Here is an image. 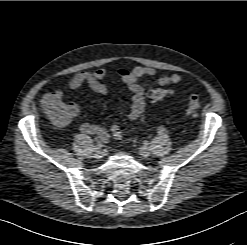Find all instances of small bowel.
Masks as SVG:
<instances>
[{"mask_svg": "<svg viewBox=\"0 0 247 245\" xmlns=\"http://www.w3.org/2000/svg\"><path fill=\"white\" fill-rule=\"evenodd\" d=\"M110 69L100 67L93 71H80L73 75L68 81L70 89H77L83 84H87L89 88L99 94L107 95L110 87L104 82V79L110 74ZM124 87L130 93L131 106L128 112V119L131 121L142 120L146 121V88L147 84L141 82L143 77H156L158 71L153 67L137 66L131 70L120 68L117 70ZM183 80L180 74L174 73L171 75H164L157 77L153 84L157 86H166L170 84H178ZM51 100L64 101V94L62 90H55L47 93L42 98V106L45 108ZM69 111V121L78 116L80 107L78 104L70 102L67 103ZM67 122V123H68ZM82 134L95 135L100 141L106 143L109 140V133L106 129L99 125L91 123H83L79 126Z\"/></svg>", "mask_w": 247, "mask_h": 245, "instance_id": "obj_1", "label": "small bowel"}]
</instances>
